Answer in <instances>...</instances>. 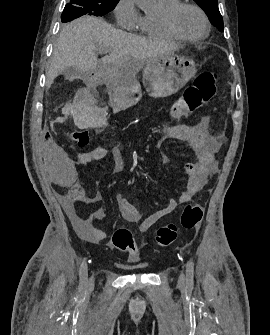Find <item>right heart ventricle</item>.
Here are the masks:
<instances>
[{
  "instance_id": "1",
  "label": "right heart ventricle",
  "mask_w": 270,
  "mask_h": 335,
  "mask_svg": "<svg viewBox=\"0 0 270 335\" xmlns=\"http://www.w3.org/2000/svg\"><path fill=\"white\" fill-rule=\"evenodd\" d=\"M157 2L161 9L160 14L158 16H149L147 14L140 15V19L136 28L151 38L162 40H178L179 38L173 36L166 30L160 21V16L164 11L178 4L180 0H157Z\"/></svg>"
}]
</instances>
